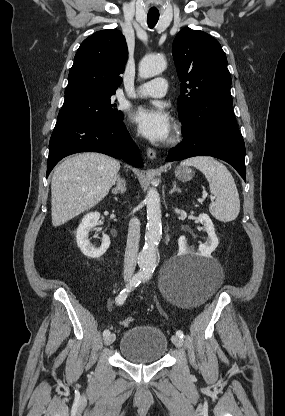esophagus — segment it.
Here are the masks:
<instances>
[{
	"mask_svg": "<svg viewBox=\"0 0 285 416\" xmlns=\"http://www.w3.org/2000/svg\"><path fill=\"white\" fill-rule=\"evenodd\" d=\"M147 156L151 160H154V158H156V152H155V150H153V148H148L147 149Z\"/></svg>",
	"mask_w": 285,
	"mask_h": 416,
	"instance_id": "1",
	"label": "esophagus"
}]
</instances>
